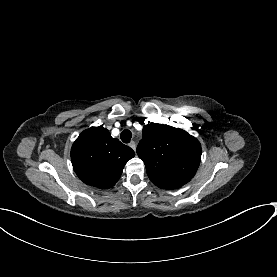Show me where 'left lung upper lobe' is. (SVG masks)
Segmentation results:
<instances>
[{
    "mask_svg": "<svg viewBox=\"0 0 277 277\" xmlns=\"http://www.w3.org/2000/svg\"><path fill=\"white\" fill-rule=\"evenodd\" d=\"M137 154L153 184L161 189H177L195 175L201 160V145L182 129L149 123L143 127Z\"/></svg>",
    "mask_w": 277,
    "mask_h": 277,
    "instance_id": "obj_1",
    "label": "left lung upper lobe"
}]
</instances>
